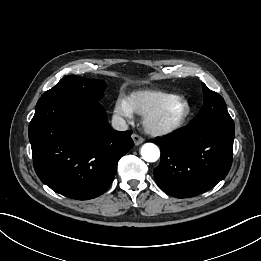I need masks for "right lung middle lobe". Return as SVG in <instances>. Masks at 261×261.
Wrapping results in <instances>:
<instances>
[{
  "mask_svg": "<svg viewBox=\"0 0 261 261\" xmlns=\"http://www.w3.org/2000/svg\"><path fill=\"white\" fill-rule=\"evenodd\" d=\"M105 89L104 82L80 78L74 75L62 78L58 84L46 91L41 98H66L76 101H98Z\"/></svg>",
  "mask_w": 261,
  "mask_h": 261,
  "instance_id": "right-lung-middle-lobe-1",
  "label": "right lung middle lobe"
}]
</instances>
